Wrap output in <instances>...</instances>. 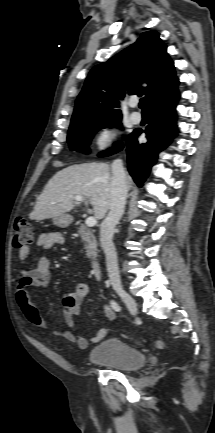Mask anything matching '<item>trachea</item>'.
Masks as SVG:
<instances>
[{"instance_id":"1","label":"trachea","mask_w":215,"mask_h":433,"mask_svg":"<svg viewBox=\"0 0 215 433\" xmlns=\"http://www.w3.org/2000/svg\"><path fill=\"white\" fill-rule=\"evenodd\" d=\"M139 107L143 110V111H148V107L146 105L145 99L142 98L139 102Z\"/></svg>"}]
</instances>
